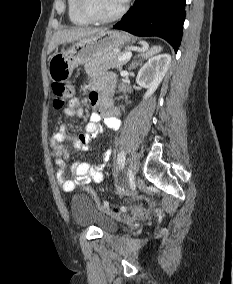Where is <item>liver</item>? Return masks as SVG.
Instances as JSON below:
<instances>
[{
	"label": "liver",
	"instance_id": "6515ba94",
	"mask_svg": "<svg viewBox=\"0 0 233 284\" xmlns=\"http://www.w3.org/2000/svg\"><path fill=\"white\" fill-rule=\"evenodd\" d=\"M102 30L104 29L87 27H73L70 29L58 30L53 34L50 40L47 53L50 54L61 44L79 41L81 39L93 36Z\"/></svg>",
	"mask_w": 233,
	"mask_h": 284
}]
</instances>
